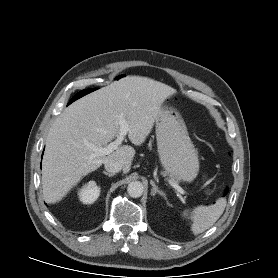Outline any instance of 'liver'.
<instances>
[{
	"mask_svg": "<svg viewBox=\"0 0 278 278\" xmlns=\"http://www.w3.org/2000/svg\"><path fill=\"white\" fill-rule=\"evenodd\" d=\"M176 91L146 77L126 76L68 106L55 120L47 138L42 161L45 201L54 204L85 175L107 160L131 169L135 149L119 146L109 155L93 156L91 147L106 146L120 132L119 118L128 124V137L138 146L150 134L162 103ZM90 145L91 147H89Z\"/></svg>",
	"mask_w": 278,
	"mask_h": 278,
	"instance_id": "obj_1",
	"label": "liver"
}]
</instances>
